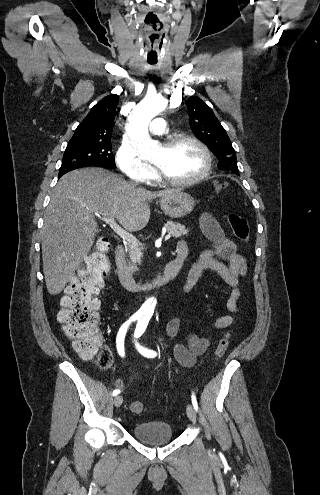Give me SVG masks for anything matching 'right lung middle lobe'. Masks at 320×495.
<instances>
[{
    "label": "right lung middle lobe",
    "mask_w": 320,
    "mask_h": 495,
    "mask_svg": "<svg viewBox=\"0 0 320 495\" xmlns=\"http://www.w3.org/2000/svg\"><path fill=\"white\" fill-rule=\"evenodd\" d=\"M88 166L116 168L110 142L69 143L64 152L59 177L71 170Z\"/></svg>",
    "instance_id": "dd1d6c3e"
}]
</instances>
